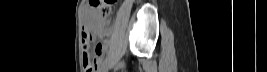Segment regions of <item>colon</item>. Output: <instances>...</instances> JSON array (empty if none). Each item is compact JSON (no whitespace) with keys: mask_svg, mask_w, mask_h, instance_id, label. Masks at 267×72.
<instances>
[{"mask_svg":"<svg viewBox=\"0 0 267 72\" xmlns=\"http://www.w3.org/2000/svg\"><path fill=\"white\" fill-rule=\"evenodd\" d=\"M116 0H91V5L97 10L103 18H108L112 13V6ZM98 46L96 47V51ZM83 66L85 72H93L97 65L96 55L90 53V44L83 49Z\"/></svg>","mask_w":267,"mask_h":72,"instance_id":"colon-1","label":"colon"}]
</instances>
